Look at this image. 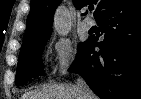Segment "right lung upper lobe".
<instances>
[{"instance_id": "right-lung-upper-lobe-1", "label": "right lung upper lobe", "mask_w": 141, "mask_h": 99, "mask_svg": "<svg viewBox=\"0 0 141 99\" xmlns=\"http://www.w3.org/2000/svg\"><path fill=\"white\" fill-rule=\"evenodd\" d=\"M77 9H81L88 3H93L92 0H72ZM112 0H94L97 5L94 17L97 18L105 11ZM60 0H32L31 10L27 18V29L24 36V43L37 41L52 32L53 15L59 5Z\"/></svg>"}]
</instances>
